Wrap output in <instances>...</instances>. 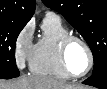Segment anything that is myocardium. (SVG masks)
Instances as JSON below:
<instances>
[{
	"instance_id": "myocardium-1",
	"label": "myocardium",
	"mask_w": 107,
	"mask_h": 89,
	"mask_svg": "<svg viewBox=\"0 0 107 89\" xmlns=\"http://www.w3.org/2000/svg\"><path fill=\"white\" fill-rule=\"evenodd\" d=\"M73 41L80 42L85 47L88 57H89L88 67L81 74H73L69 70V67L67 64V51H68L70 44ZM58 55H59L60 64H61L64 72L70 78H81V77L87 75L91 71V69L93 68V65H94V55H93L92 49H91L90 45L88 44V42L83 37H81L79 35L69 33V34H66L64 37H62V39L59 42V46H58Z\"/></svg>"
}]
</instances>
